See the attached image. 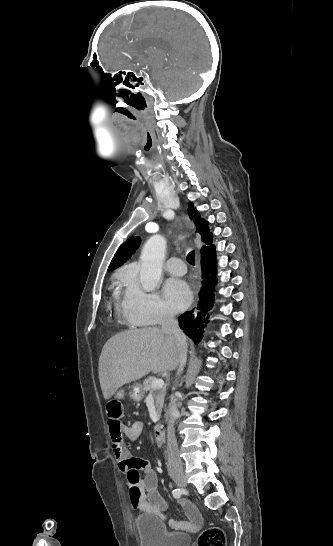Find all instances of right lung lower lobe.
<instances>
[{"instance_id":"obj_1","label":"right lung lower lobe","mask_w":333,"mask_h":546,"mask_svg":"<svg viewBox=\"0 0 333 546\" xmlns=\"http://www.w3.org/2000/svg\"><path fill=\"white\" fill-rule=\"evenodd\" d=\"M215 249L212 247L208 252L201 254L202 286L199 292V301L196 310L187 311L179 317V326L195 344L203 337V329L206 318L214 303V284L217 282Z\"/></svg>"}]
</instances>
